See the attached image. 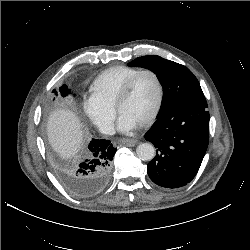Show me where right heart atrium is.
<instances>
[{
	"instance_id": "1",
	"label": "right heart atrium",
	"mask_w": 250,
	"mask_h": 250,
	"mask_svg": "<svg viewBox=\"0 0 250 250\" xmlns=\"http://www.w3.org/2000/svg\"><path fill=\"white\" fill-rule=\"evenodd\" d=\"M84 117L103 133H108L112 129L114 120V110L105 107L92 97L86 98L83 103Z\"/></svg>"
}]
</instances>
